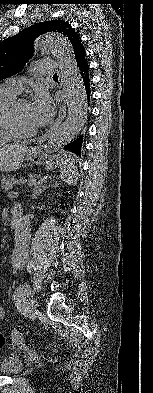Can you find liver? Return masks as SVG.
<instances>
[{"label": "liver", "mask_w": 153, "mask_h": 393, "mask_svg": "<svg viewBox=\"0 0 153 393\" xmlns=\"http://www.w3.org/2000/svg\"><path fill=\"white\" fill-rule=\"evenodd\" d=\"M26 146L14 144L0 147V171L18 170L24 160Z\"/></svg>", "instance_id": "obj_1"}]
</instances>
